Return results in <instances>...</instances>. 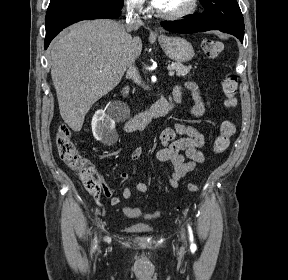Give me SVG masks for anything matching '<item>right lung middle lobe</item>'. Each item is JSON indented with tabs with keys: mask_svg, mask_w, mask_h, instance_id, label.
I'll use <instances>...</instances> for the list:
<instances>
[{
	"mask_svg": "<svg viewBox=\"0 0 288 280\" xmlns=\"http://www.w3.org/2000/svg\"><path fill=\"white\" fill-rule=\"evenodd\" d=\"M63 0H51L49 5H53L55 3L61 2ZM103 2H106L108 4H111L113 6H117L122 8L123 7V0H101Z\"/></svg>",
	"mask_w": 288,
	"mask_h": 280,
	"instance_id": "right-lung-middle-lobe-1",
	"label": "right lung middle lobe"
}]
</instances>
